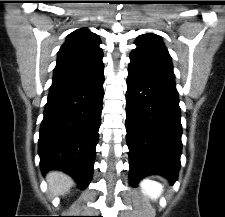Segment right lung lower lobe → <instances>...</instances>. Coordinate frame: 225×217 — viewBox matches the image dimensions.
I'll return each mask as SVG.
<instances>
[{
  "mask_svg": "<svg viewBox=\"0 0 225 217\" xmlns=\"http://www.w3.org/2000/svg\"><path fill=\"white\" fill-rule=\"evenodd\" d=\"M104 76L95 82L50 90L40 127L43 173L62 170L84 189L93 173L101 123Z\"/></svg>",
  "mask_w": 225,
  "mask_h": 217,
  "instance_id": "1",
  "label": "right lung lower lobe"
}]
</instances>
